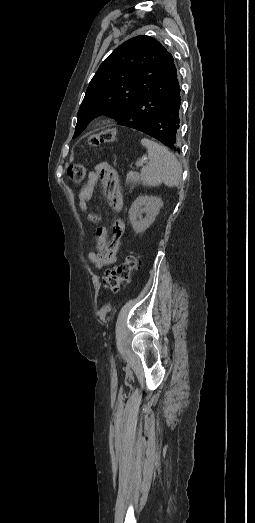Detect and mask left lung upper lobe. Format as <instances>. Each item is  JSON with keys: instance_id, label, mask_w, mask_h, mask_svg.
Segmentation results:
<instances>
[{"instance_id": "obj_1", "label": "left lung upper lobe", "mask_w": 255, "mask_h": 523, "mask_svg": "<svg viewBox=\"0 0 255 523\" xmlns=\"http://www.w3.org/2000/svg\"><path fill=\"white\" fill-rule=\"evenodd\" d=\"M176 88L179 82L172 55L150 36L134 37L117 47L90 81L73 138L101 114L127 127L153 121L152 115H161Z\"/></svg>"}]
</instances>
